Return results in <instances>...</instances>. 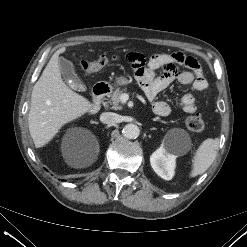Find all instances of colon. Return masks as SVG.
I'll use <instances>...</instances> for the list:
<instances>
[{
	"label": "colon",
	"mask_w": 247,
	"mask_h": 247,
	"mask_svg": "<svg viewBox=\"0 0 247 247\" xmlns=\"http://www.w3.org/2000/svg\"><path fill=\"white\" fill-rule=\"evenodd\" d=\"M109 57L106 54H102L95 61H82L81 69L84 73H92L103 68L108 62ZM186 127L195 133L202 132L205 128V123L199 114L195 112H190L185 118Z\"/></svg>",
	"instance_id": "1"
}]
</instances>
